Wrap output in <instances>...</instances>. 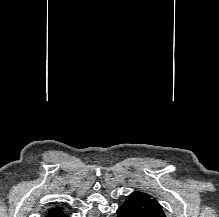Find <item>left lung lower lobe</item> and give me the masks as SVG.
Wrapping results in <instances>:
<instances>
[{"instance_id":"0a47b994","label":"left lung lower lobe","mask_w":219,"mask_h":217,"mask_svg":"<svg viewBox=\"0 0 219 217\" xmlns=\"http://www.w3.org/2000/svg\"><path fill=\"white\" fill-rule=\"evenodd\" d=\"M117 217H144L136 208L130 203H124L117 209Z\"/></svg>"}]
</instances>
